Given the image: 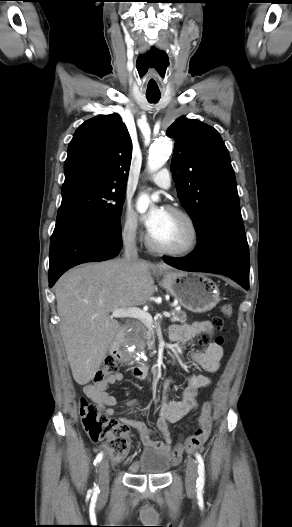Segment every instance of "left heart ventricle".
<instances>
[{"instance_id":"1","label":"left heart ventricle","mask_w":292,"mask_h":527,"mask_svg":"<svg viewBox=\"0 0 292 527\" xmlns=\"http://www.w3.org/2000/svg\"><path fill=\"white\" fill-rule=\"evenodd\" d=\"M150 235L156 243L175 248L187 243L190 230L182 218L164 211L159 224L150 231Z\"/></svg>"}]
</instances>
